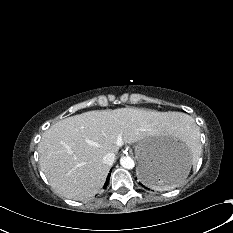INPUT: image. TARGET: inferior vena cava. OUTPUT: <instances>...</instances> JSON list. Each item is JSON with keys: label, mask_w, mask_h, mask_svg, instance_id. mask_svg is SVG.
<instances>
[{"label": "inferior vena cava", "mask_w": 233, "mask_h": 233, "mask_svg": "<svg viewBox=\"0 0 233 233\" xmlns=\"http://www.w3.org/2000/svg\"><path fill=\"white\" fill-rule=\"evenodd\" d=\"M115 160V154L114 153H107L104 157H103V163L107 164L109 166L113 165Z\"/></svg>", "instance_id": "inferior-vena-cava-1"}]
</instances>
